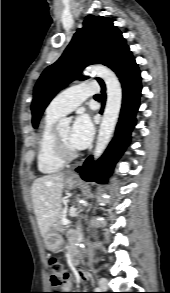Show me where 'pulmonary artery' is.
I'll return each mask as SVG.
<instances>
[{
    "label": "pulmonary artery",
    "instance_id": "1",
    "mask_svg": "<svg viewBox=\"0 0 170 293\" xmlns=\"http://www.w3.org/2000/svg\"><path fill=\"white\" fill-rule=\"evenodd\" d=\"M98 88V84L95 83L69 87L53 98L46 112L57 116L66 115L77 108L88 96L96 95Z\"/></svg>",
    "mask_w": 170,
    "mask_h": 293
}]
</instances>
